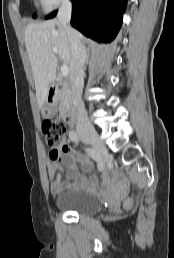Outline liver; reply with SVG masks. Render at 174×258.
I'll return each mask as SVG.
<instances>
[{
  "label": "liver",
  "instance_id": "obj_1",
  "mask_svg": "<svg viewBox=\"0 0 174 258\" xmlns=\"http://www.w3.org/2000/svg\"><path fill=\"white\" fill-rule=\"evenodd\" d=\"M75 32L81 41L83 36ZM25 46L32 67L38 106L41 109L47 100L50 86L56 80L58 59L53 48H57L60 60L70 67L71 47L64 27L57 19L29 24L25 29Z\"/></svg>",
  "mask_w": 174,
  "mask_h": 258
}]
</instances>
